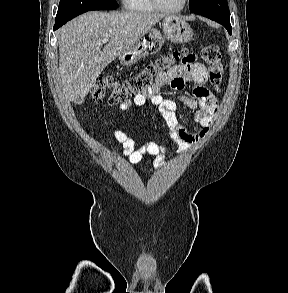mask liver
<instances>
[{
  "label": "liver",
  "mask_w": 288,
  "mask_h": 293,
  "mask_svg": "<svg viewBox=\"0 0 288 293\" xmlns=\"http://www.w3.org/2000/svg\"><path fill=\"white\" fill-rule=\"evenodd\" d=\"M167 15L149 12L84 13L58 30L59 74L67 101L84 98L101 72ZM108 43L100 50L101 41Z\"/></svg>",
  "instance_id": "obj_1"
}]
</instances>
